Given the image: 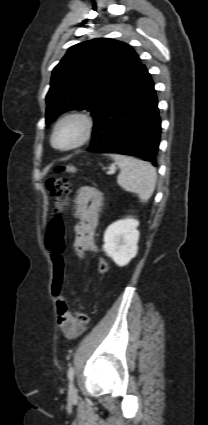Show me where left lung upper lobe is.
I'll return each mask as SVG.
<instances>
[{
	"label": "left lung upper lobe",
	"instance_id": "left-lung-upper-lobe-1",
	"mask_svg": "<svg viewBox=\"0 0 208 425\" xmlns=\"http://www.w3.org/2000/svg\"><path fill=\"white\" fill-rule=\"evenodd\" d=\"M142 66L137 53L117 40L96 38L72 46L53 70L46 123L74 109H87L96 120Z\"/></svg>",
	"mask_w": 208,
	"mask_h": 425
}]
</instances>
